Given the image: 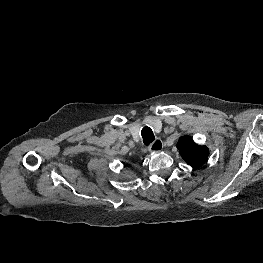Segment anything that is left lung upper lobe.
<instances>
[{"label": "left lung upper lobe", "mask_w": 263, "mask_h": 263, "mask_svg": "<svg viewBox=\"0 0 263 263\" xmlns=\"http://www.w3.org/2000/svg\"><path fill=\"white\" fill-rule=\"evenodd\" d=\"M177 148L185 162L193 168H199L208 159V148L196 144L191 136H182L178 141Z\"/></svg>", "instance_id": "5c2ea615"}]
</instances>
